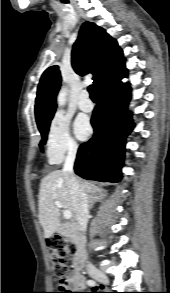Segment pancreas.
I'll return each instance as SVG.
<instances>
[{
  "instance_id": "obj_1",
  "label": "pancreas",
  "mask_w": 170,
  "mask_h": 293,
  "mask_svg": "<svg viewBox=\"0 0 170 293\" xmlns=\"http://www.w3.org/2000/svg\"><path fill=\"white\" fill-rule=\"evenodd\" d=\"M67 238H68L69 240H72L76 245L79 244V239H78L77 236L68 235Z\"/></svg>"
}]
</instances>
